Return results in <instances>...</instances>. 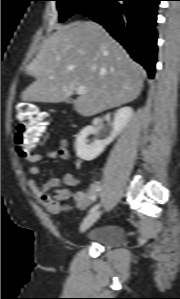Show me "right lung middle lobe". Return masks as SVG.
I'll use <instances>...</instances> for the list:
<instances>
[{
  "label": "right lung middle lobe",
  "instance_id": "1",
  "mask_svg": "<svg viewBox=\"0 0 180 299\" xmlns=\"http://www.w3.org/2000/svg\"><path fill=\"white\" fill-rule=\"evenodd\" d=\"M59 11V21L63 22L75 13L84 14L99 5L104 0H56Z\"/></svg>",
  "mask_w": 180,
  "mask_h": 299
}]
</instances>
